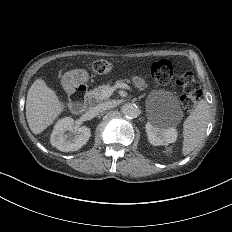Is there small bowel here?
<instances>
[{"label":"small bowel","mask_w":232,"mask_h":232,"mask_svg":"<svg viewBox=\"0 0 232 232\" xmlns=\"http://www.w3.org/2000/svg\"><path fill=\"white\" fill-rule=\"evenodd\" d=\"M131 80L137 88L142 89L145 87V82L140 76L132 75Z\"/></svg>","instance_id":"1"}]
</instances>
